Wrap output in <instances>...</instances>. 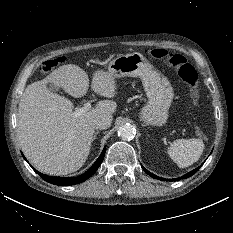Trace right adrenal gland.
<instances>
[{
	"label": "right adrenal gland",
	"mask_w": 233,
	"mask_h": 233,
	"mask_svg": "<svg viewBox=\"0 0 233 233\" xmlns=\"http://www.w3.org/2000/svg\"><path fill=\"white\" fill-rule=\"evenodd\" d=\"M98 133H99V131H96V132L94 133V136H93L92 141L96 138V136H97Z\"/></svg>",
	"instance_id": "obj_1"
}]
</instances>
